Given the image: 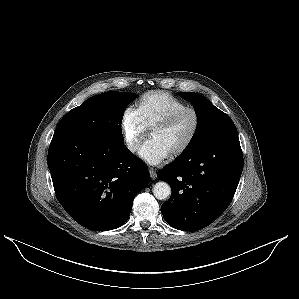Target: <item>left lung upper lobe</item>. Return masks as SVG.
Masks as SVG:
<instances>
[{
  "label": "left lung upper lobe",
  "mask_w": 299,
  "mask_h": 299,
  "mask_svg": "<svg viewBox=\"0 0 299 299\" xmlns=\"http://www.w3.org/2000/svg\"><path fill=\"white\" fill-rule=\"evenodd\" d=\"M194 106L198 117L195 134L182 154H188L206 146L213 138L228 129L235 128L231 118L215 107L207 98L194 92H178Z\"/></svg>",
  "instance_id": "5c2ea615"
}]
</instances>
